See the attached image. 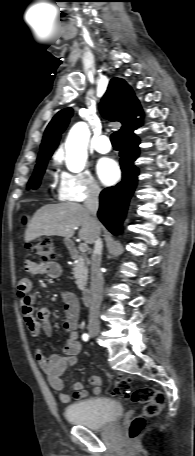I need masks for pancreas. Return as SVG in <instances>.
Returning a JSON list of instances; mask_svg holds the SVG:
<instances>
[{"label":"pancreas","mask_w":195,"mask_h":456,"mask_svg":"<svg viewBox=\"0 0 195 456\" xmlns=\"http://www.w3.org/2000/svg\"><path fill=\"white\" fill-rule=\"evenodd\" d=\"M72 258L75 260L73 275L76 279V285L79 290L85 291V286L88 279V264L89 260L85 254L76 251L72 252Z\"/></svg>","instance_id":"obj_1"}]
</instances>
